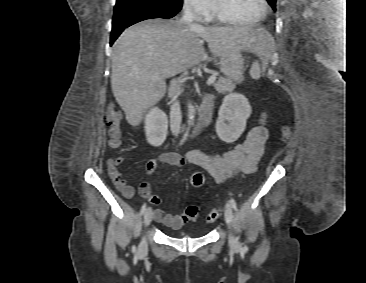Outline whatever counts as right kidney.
Returning <instances> with one entry per match:
<instances>
[{
    "label": "right kidney",
    "mask_w": 366,
    "mask_h": 283,
    "mask_svg": "<svg viewBox=\"0 0 366 283\" xmlns=\"http://www.w3.org/2000/svg\"><path fill=\"white\" fill-rule=\"evenodd\" d=\"M168 130V117L158 107H153L145 116V133L150 145L158 147L166 139Z\"/></svg>",
    "instance_id": "ca27d5eb"
}]
</instances>
